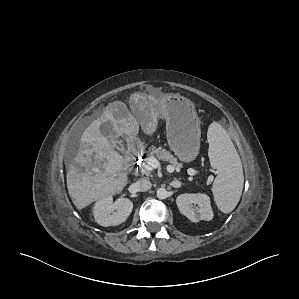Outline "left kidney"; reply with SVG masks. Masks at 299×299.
I'll list each match as a JSON object with an SVG mask.
<instances>
[{"instance_id": "left-kidney-1", "label": "left kidney", "mask_w": 299, "mask_h": 299, "mask_svg": "<svg viewBox=\"0 0 299 299\" xmlns=\"http://www.w3.org/2000/svg\"><path fill=\"white\" fill-rule=\"evenodd\" d=\"M176 203L179 211L192 222L213 219L210 198L206 194H182L177 197ZM193 205H197V207Z\"/></svg>"}]
</instances>
